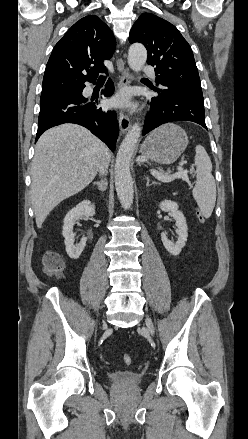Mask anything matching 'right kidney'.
Returning a JSON list of instances; mask_svg holds the SVG:
<instances>
[{"mask_svg": "<svg viewBox=\"0 0 248 439\" xmlns=\"http://www.w3.org/2000/svg\"><path fill=\"white\" fill-rule=\"evenodd\" d=\"M95 215V206L90 200L80 202L75 208L71 209L64 218L63 237L66 252L71 259H78L83 252L87 238L83 237L79 244L74 245L73 226L82 217H92Z\"/></svg>", "mask_w": 248, "mask_h": 439, "instance_id": "1", "label": "right kidney"}]
</instances>
